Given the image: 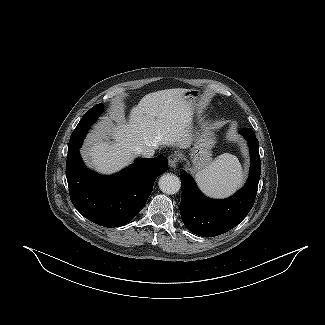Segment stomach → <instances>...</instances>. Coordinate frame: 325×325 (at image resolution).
Masks as SVG:
<instances>
[{"label":"stomach","instance_id":"obj_1","mask_svg":"<svg viewBox=\"0 0 325 325\" xmlns=\"http://www.w3.org/2000/svg\"><path fill=\"white\" fill-rule=\"evenodd\" d=\"M184 97L186 100L196 105L199 93L196 90H188ZM216 143V138L213 132L202 130L197 132L194 137L193 147L190 149V158L192 161L193 170H201L211 162V149Z\"/></svg>","mask_w":325,"mask_h":325}]
</instances>
